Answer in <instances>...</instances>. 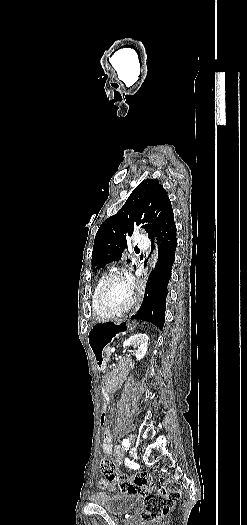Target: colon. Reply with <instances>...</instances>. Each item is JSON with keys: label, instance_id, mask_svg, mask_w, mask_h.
Here are the masks:
<instances>
[{"label": "colon", "instance_id": "colon-1", "mask_svg": "<svg viewBox=\"0 0 247 525\" xmlns=\"http://www.w3.org/2000/svg\"><path fill=\"white\" fill-rule=\"evenodd\" d=\"M103 410L108 408L106 403L101 405ZM100 428L106 429L107 415H99ZM100 472L109 482H118L121 494L138 495L142 498L143 508L140 518L143 522H159L164 519L175 500L182 498L183 488L178 481L160 480L155 482L146 472L131 474L127 478L121 477L116 467L109 457L102 458L100 462Z\"/></svg>", "mask_w": 247, "mask_h": 525}]
</instances>
